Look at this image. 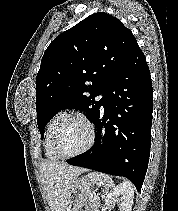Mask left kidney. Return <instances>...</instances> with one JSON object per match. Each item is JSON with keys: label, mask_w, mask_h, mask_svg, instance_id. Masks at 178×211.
Listing matches in <instances>:
<instances>
[{"label": "left kidney", "mask_w": 178, "mask_h": 211, "mask_svg": "<svg viewBox=\"0 0 178 211\" xmlns=\"http://www.w3.org/2000/svg\"><path fill=\"white\" fill-rule=\"evenodd\" d=\"M119 197L122 200L119 211H131L134 198V188L130 182L125 181L119 184L107 194L105 198V208L111 211L116 199Z\"/></svg>", "instance_id": "1"}]
</instances>
